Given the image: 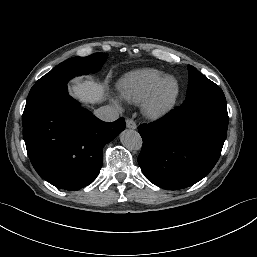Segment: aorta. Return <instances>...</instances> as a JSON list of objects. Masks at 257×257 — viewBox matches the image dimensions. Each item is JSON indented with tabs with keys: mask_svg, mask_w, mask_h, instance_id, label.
Masks as SVG:
<instances>
[{
	"mask_svg": "<svg viewBox=\"0 0 257 257\" xmlns=\"http://www.w3.org/2000/svg\"><path fill=\"white\" fill-rule=\"evenodd\" d=\"M120 141L124 147L130 150H140L142 147V138L135 130H124L120 134Z\"/></svg>",
	"mask_w": 257,
	"mask_h": 257,
	"instance_id": "762f6f07",
	"label": "aorta"
}]
</instances>
